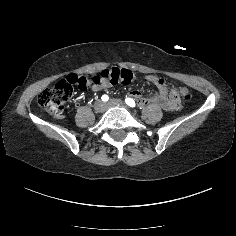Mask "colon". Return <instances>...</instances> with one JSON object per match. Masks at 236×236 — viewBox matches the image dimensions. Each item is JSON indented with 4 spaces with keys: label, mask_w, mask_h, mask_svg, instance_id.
I'll return each mask as SVG.
<instances>
[{
    "label": "colon",
    "mask_w": 236,
    "mask_h": 236,
    "mask_svg": "<svg viewBox=\"0 0 236 236\" xmlns=\"http://www.w3.org/2000/svg\"><path fill=\"white\" fill-rule=\"evenodd\" d=\"M135 79V74L128 69L112 68L102 71L99 75L71 74L56 83L52 88L43 90L38 95V104L54 117H61L65 111L66 104L76 89L87 90L100 85L103 82L109 84H129ZM160 82V81H159ZM178 94L185 100L192 96L187 87H179Z\"/></svg>",
    "instance_id": "obj_1"
}]
</instances>
